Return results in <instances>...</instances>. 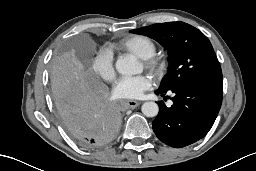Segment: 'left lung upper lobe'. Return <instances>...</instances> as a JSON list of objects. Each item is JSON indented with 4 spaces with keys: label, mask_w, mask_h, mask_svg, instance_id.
<instances>
[{
    "label": "left lung upper lobe",
    "mask_w": 256,
    "mask_h": 171,
    "mask_svg": "<svg viewBox=\"0 0 256 171\" xmlns=\"http://www.w3.org/2000/svg\"><path fill=\"white\" fill-rule=\"evenodd\" d=\"M130 32L147 35L168 50L169 68L158 90L167 92L188 82L222 85V71L213 47L195 27L167 22Z\"/></svg>",
    "instance_id": "obj_1"
}]
</instances>
